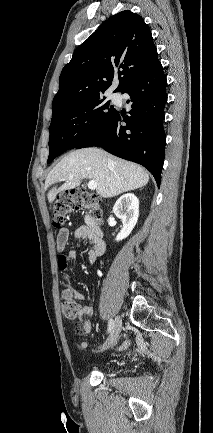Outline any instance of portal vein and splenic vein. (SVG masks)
Returning a JSON list of instances; mask_svg holds the SVG:
<instances>
[{
    "mask_svg": "<svg viewBox=\"0 0 213 433\" xmlns=\"http://www.w3.org/2000/svg\"><path fill=\"white\" fill-rule=\"evenodd\" d=\"M88 188L90 189V190H95L96 188H97V183L95 182V181H89L88 182Z\"/></svg>",
    "mask_w": 213,
    "mask_h": 433,
    "instance_id": "1",
    "label": "portal vein and splenic vein"
}]
</instances>
